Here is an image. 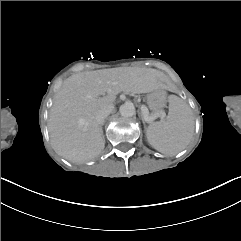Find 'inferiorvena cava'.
Instances as JSON below:
<instances>
[{
    "label": "inferior vena cava",
    "mask_w": 241,
    "mask_h": 241,
    "mask_svg": "<svg viewBox=\"0 0 241 241\" xmlns=\"http://www.w3.org/2000/svg\"><path fill=\"white\" fill-rule=\"evenodd\" d=\"M114 106L111 105L106 109L101 110L95 117L96 122L100 125L103 124L105 118L113 111Z\"/></svg>",
    "instance_id": "1"
}]
</instances>
